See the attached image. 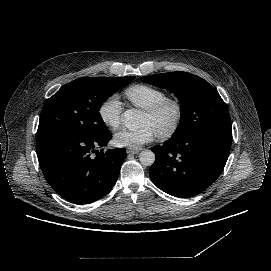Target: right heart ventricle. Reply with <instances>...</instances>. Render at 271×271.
Instances as JSON below:
<instances>
[{"label": "right heart ventricle", "mask_w": 271, "mask_h": 271, "mask_svg": "<svg viewBox=\"0 0 271 271\" xmlns=\"http://www.w3.org/2000/svg\"><path fill=\"white\" fill-rule=\"evenodd\" d=\"M124 94L131 103L141 109L149 108L168 98L164 90L148 84L132 85L125 90Z\"/></svg>", "instance_id": "1"}]
</instances>
